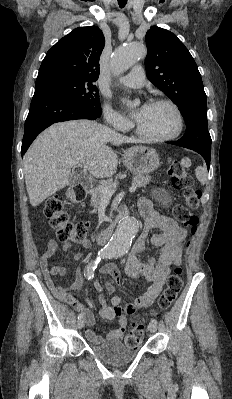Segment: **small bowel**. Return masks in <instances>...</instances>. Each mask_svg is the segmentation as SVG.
<instances>
[{
  "label": "small bowel",
  "instance_id": "c3829d8e",
  "mask_svg": "<svg viewBox=\"0 0 232 399\" xmlns=\"http://www.w3.org/2000/svg\"><path fill=\"white\" fill-rule=\"evenodd\" d=\"M139 207L143 212L146 222L145 226L138 235L134 247L129 253L128 262L124 268L127 277L140 287L139 279L145 276L150 282L148 289L138 298L134 305L121 306L120 297L116 290L109 289V294L112 295L111 304L108 305L106 296L98 281H95L94 288L98 293V298L101 304L100 316L104 319H109L114 316L120 317L119 327L114 332L108 333L109 343L111 345H119L120 337L127 331L128 325L126 315L137 310L151 307L160 293L164 282L169 274V268L172 265L179 263L181 258L182 244L186 236L185 230L175 224L172 220L161 219L157 214V208L153 202L146 198L139 200ZM153 228H159L162 233L152 236L151 241L154 245L161 248L158 258L148 257L141 258V253L148 241L149 232ZM73 244L65 242L63 245L64 251H69ZM84 249H90L92 244L90 242H83ZM57 253V243L54 240L48 242V249L41 259V268L44 272L46 284L49 292L52 295L61 297L66 303L78 309L84 316V320L80 322L79 328L84 330L86 338H88L94 345H101L102 338L92 328L95 324V314L87 306L79 304L71 296V291H76L80 288L82 282V275L77 273L75 281L67 286L58 287L53 282V277L61 272L60 267L52 266L49 268V259L55 257ZM73 258L77 261L81 260L82 255L75 253ZM102 275L105 280L109 278H117L113 270L104 268ZM123 285H120V290Z\"/></svg>",
  "mask_w": 232,
  "mask_h": 399
}]
</instances>
